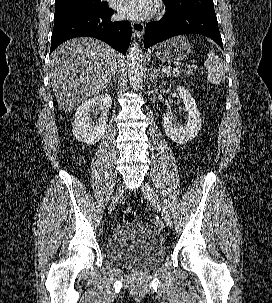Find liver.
<instances>
[{
  "label": "liver",
  "instance_id": "6515ba94",
  "mask_svg": "<svg viewBox=\"0 0 272 303\" xmlns=\"http://www.w3.org/2000/svg\"><path fill=\"white\" fill-rule=\"evenodd\" d=\"M120 55L94 38L68 40L51 54L49 61L53 92L65 112L106 89L116 73Z\"/></svg>",
  "mask_w": 272,
  "mask_h": 303
}]
</instances>
